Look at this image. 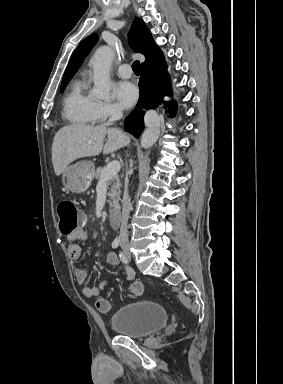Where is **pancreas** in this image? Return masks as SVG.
Wrapping results in <instances>:
<instances>
[{
    "label": "pancreas",
    "instance_id": "cf45deb5",
    "mask_svg": "<svg viewBox=\"0 0 283 384\" xmlns=\"http://www.w3.org/2000/svg\"><path fill=\"white\" fill-rule=\"evenodd\" d=\"M103 170L104 168H97V172L95 174L96 180H101ZM106 184L107 186H109L108 188L109 190L108 204L110 206L109 212H117V210H120L119 196L121 194L120 192L121 184H120L119 176H113L111 180H106Z\"/></svg>",
    "mask_w": 283,
    "mask_h": 384
}]
</instances>
